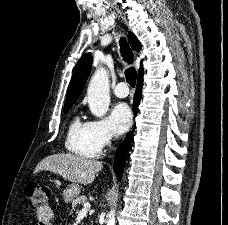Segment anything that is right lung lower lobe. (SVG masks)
<instances>
[{
	"label": "right lung lower lobe",
	"mask_w": 228,
	"mask_h": 225,
	"mask_svg": "<svg viewBox=\"0 0 228 225\" xmlns=\"http://www.w3.org/2000/svg\"><path fill=\"white\" fill-rule=\"evenodd\" d=\"M143 86V71H139L138 75V81H137V91L134 95V104H133V110L134 112L138 111V105L141 99V89ZM132 138V133H128L124 141L119 145L116 155H115V161H114V171L117 175L118 180H121L125 160L127 156V152L130 146V141Z\"/></svg>",
	"instance_id": "1"
}]
</instances>
